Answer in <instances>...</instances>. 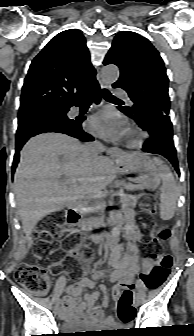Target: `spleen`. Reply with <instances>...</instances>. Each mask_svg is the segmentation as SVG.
Returning <instances> with one entry per match:
<instances>
[{"label": "spleen", "instance_id": "obj_1", "mask_svg": "<svg viewBox=\"0 0 194 336\" xmlns=\"http://www.w3.org/2000/svg\"><path fill=\"white\" fill-rule=\"evenodd\" d=\"M153 162L159 167V175L162 180L160 216L163 220H169L174 216L176 210L178 186L173 174L170 172L169 168L163 164L162 160L154 157Z\"/></svg>", "mask_w": 194, "mask_h": 336}]
</instances>
